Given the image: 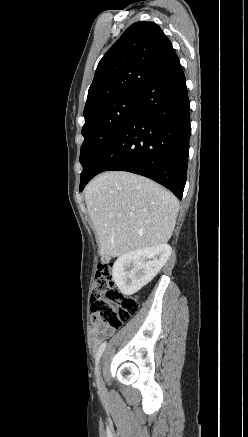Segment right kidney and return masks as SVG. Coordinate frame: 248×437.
Listing matches in <instances>:
<instances>
[{"label":"right kidney","instance_id":"ca27d5eb","mask_svg":"<svg viewBox=\"0 0 248 437\" xmlns=\"http://www.w3.org/2000/svg\"><path fill=\"white\" fill-rule=\"evenodd\" d=\"M171 252L170 245L160 244L121 255L113 265L114 282L125 295L137 293L158 274Z\"/></svg>","mask_w":248,"mask_h":437}]
</instances>
